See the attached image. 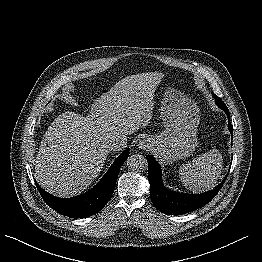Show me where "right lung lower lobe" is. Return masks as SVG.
I'll return each instance as SVG.
<instances>
[{
    "instance_id": "right-lung-lower-lobe-1",
    "label": "right lung lower lobe",
    "mask_w": 262,
    "mask_h": 262,
    "mask_svg": "<svg viewBox=\"0 0 262 262\" xmlns=\"http://www.w3.org/2000/svg\"><path fill=\"white\" fill-rule=\"evenodd\" d=\"M129 151L130 149L123 151L98 184L88 192H85L79 196L68 199L57 198L43 190L37 182H35V184L44 201L59 214L71 218H84L92 216L99 212L111 199L119 170L128 158Z\"/></svg>"
}]
</instances>
